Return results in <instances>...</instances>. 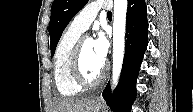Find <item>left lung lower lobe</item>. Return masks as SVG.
<instances>
[{
	"label": "left lung lower lobe",
	"instance_id": "obj_1",
	"mask_svg": "<svg viewBox=\"0 0 193 112\" xmlns=\"http://www.w3.org/2000/svg\"><path fill=\"white\" fill-rule=\"evenodd\" d=\"M148 21L145 0H128L124 62L118 86L111 96L110 84L102 93L114 112H130L136 97V80L147 48Z\"/></svg>",
	"mask_w": 193,
	"mask_h": 112
}]
</instances>
